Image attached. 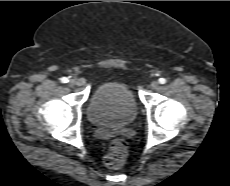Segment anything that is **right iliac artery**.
<instances>
[{
  "label": "right iliac artery",
  "mask_w": 230,
  "mask_h": 186,
  "mask_svg": "<svg viewBox=\"0 0 230 186\" xmlns=\"http://www.w3.org/2000/svg\"><path fill=\"white\" fill-rule=\"evenodd\" d=\"M61 82H62V83H67V82H69V80H68L67 77H62V78H61Z\"/></svg>",
  "instance_id": "1"
}]
</instances>
